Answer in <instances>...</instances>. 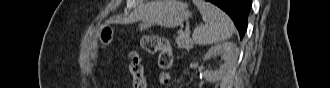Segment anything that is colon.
Instances as JSON below:
<instances>
[{
    "label": "colon",
    "instance_id": "1",
    "mask_svg": "<svg viewBox=\"0 0 330 88\" xmlns=\"http://www.w3.org/2000/svg\"><path fill=\"white\" fill-rule=\"evenodd\" d=\"M141 48L150 54H158V62L161 69L167 71L172 66V48L169 41L159 35H145L140 40ZM130 72L133 76V88H146L144 67L142 59L137 52L131 53ZM169 76L161 75V81L167 83Z\"/></svg>",
    "mask_w": 330,
    "mask_h": 88
}]
</instances>
